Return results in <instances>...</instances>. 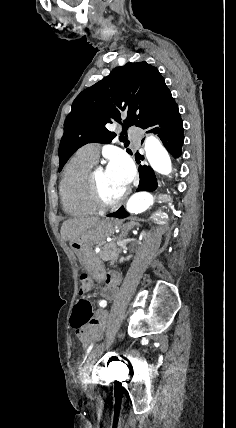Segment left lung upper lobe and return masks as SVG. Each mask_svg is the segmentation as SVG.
Returning a JSON list of instances; mask_svg holds the SVG:
<instances>
[{"label": "left lung upper lobe", "instance_id": "5c2ea615", "mask_svg": "<svg viewBox=\"0 0 236 428\" xmlns=\"http://www.w3.org/2000/svg\"><path fill=\"white\" fill-rule=\"evenodd\" d=\"M173 100L156 67L143 61L115 68L73 101L59 145V171L81 146L92 142L110 143L116 134L107 126L121 123L122 114L127 117L119 139L126 142L123 135L126 128L132 125L142 128ZM127 152L132 154L130 149Z\"/></svg>", "mask_w": 236, "mask_h": 428}]
</instances>
